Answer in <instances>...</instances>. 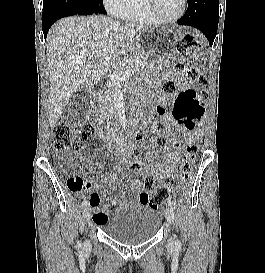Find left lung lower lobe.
<instances>
[{
  "label": "left lung lower lobe",
  "mask_w": 265,
  "mask_h": 273,
  "mask_svg": "<svg viewBox=\"0 0 265 273\" xmlns=\"http://www.w3.org/2000/svg\"><path fill=\"white\" fill-rule=\"evenodd\" d=\"M187 2L188 10L178 24L199 29L212 46L219 21L218 0H187Z\"/></svg>",
  "instance_id": "1"
}]
</instances>
